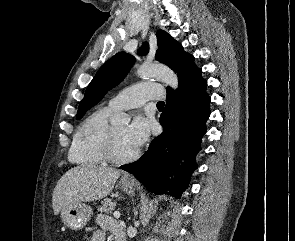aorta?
<instances>
[{"instance_id": "762f6f07", "label": "aorta", "mask_w": 295, "mask_h": 241, "mask_svg": "<svg viewBox=\"0 0 295 241\" xmlns=\"http://www.w3.org/2000/svg\"><path fill=\"white\" fill-rule=\"evenodd\" d=\"M137 75L142 78H157L174 90L178 89L177 75L164 65L144 63L137 69ZM129 122L130 118L125 113H117L110 118L112 125H127Z\"/></svg>"}]
</instances>
